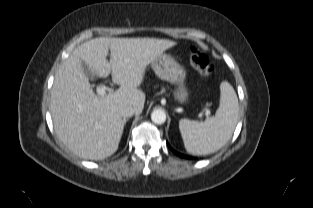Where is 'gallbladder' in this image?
Segmentation results:
<instances>
[{"mask_svg": "<svg viewBox=\"0 0 313 208\" xmlns=\"http://www.w3.org/2000/svg\"><path fill=\"white\" fill-rule=\"evenodd\" d=\"M82 68H83L84 73H85V75H86L87 77H91V78L93 77V75H92V73H91V71H90L88 65L85 64L84 62H82Z\"/></svg>", "mask_w": 313, "mask_h": 208, "instance_id": "bac80fb5", "label": "gallbladder"}]
</instances>
